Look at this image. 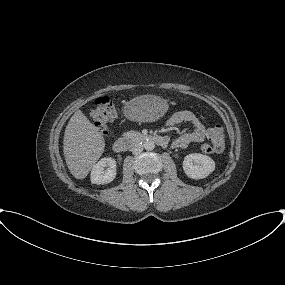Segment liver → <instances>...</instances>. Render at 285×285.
<instances>
[{"label":"liver","instance_id":"liver-1","mask_svg":"<svg viewBox=\"0 0 285 285\" xmlns=\"http://www.w3.org/2000/svg\"><path fill=\"white\" fill-rule=\"evenodd\" d=\"M105 141L81 110L68 122L63 140V152L70 173L84 179L104 151Z\"/></svg>","mask_w":285,"mask_h":285}]
</instances>
